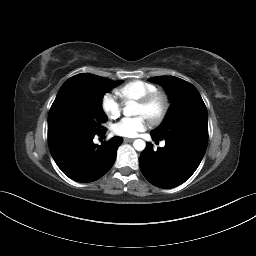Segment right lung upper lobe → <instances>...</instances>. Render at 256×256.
<instances>
[{
  "mask_svg": "<svg viewBox=\"0 0 256 256\" xmlns=\"http://www.w3.org/2000/svg\"><path fill=\"white\" fill-rule=\"evenodd\" d=\"M78 90H79L78 83L75 81L74 77H71L62 85L56 98H59L64 95L75 94L77 93Z\"/></svg>",
  "mask_w": 256,
  "mask_h": 256,
  "instance_id": "1",
  "label": "right lung upper lobe"
}]
</instances>
